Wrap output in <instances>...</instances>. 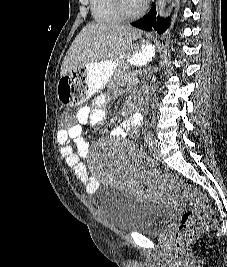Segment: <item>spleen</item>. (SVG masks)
<instances>
[{"label": "spleen", "instance_id": "3e777b00", "mask_svg": "<svg viewBox=\"0 0 227 267\" xmlns=\"http://www.w3.org/2000/svg\"><path fill=\"white\" fill-rule=\"evenodd\" d=\"M138 42L139 43H154L155 39L154 38H139Z\"/></svg>", "mask_w": 227, "mask_h": 267}]
</instances>
